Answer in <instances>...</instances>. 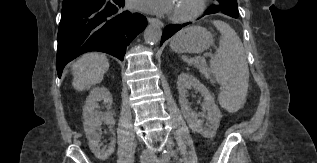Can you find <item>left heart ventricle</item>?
I'll list each match as a JSON object with an SVG mask.
<instances>
[{
    "instance_id": "left-heart-ventricle-1",
    "label": "left heart ventricle",
    "mask_w": 317,
    "mask_h": 163,
    "mask_svg": "<svg viewBox=\"0 0 317 163\" xmlns=\"http://www.w3.org/2000/svg\"><path fill=\"white\" fill-rule=\"evenodd\" d=\"M193 0H175L172 13H184L187 12L191 6Z\"/></svg>"
}]
</instances>
